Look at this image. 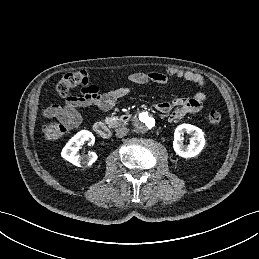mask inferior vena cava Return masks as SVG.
<instances>
[{"mask_svg":"<svg viewBox=\"0 0 259 259\" xmlns=\"http://www.w3.org/2000/svg\"><path fill=\"white\" fill-rule=\"evenodd\" d=\"M128 133V129L126 127H120L116 129V137L122 138L126 136Z\"/></svg>","mask_w":259,"mask_h":259,"instance_id":"1","label":"inferior vena cava"}]
</instances>
